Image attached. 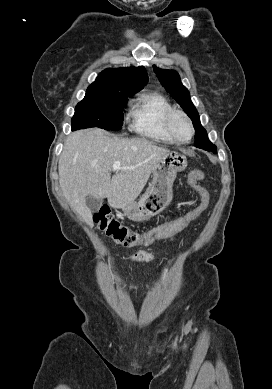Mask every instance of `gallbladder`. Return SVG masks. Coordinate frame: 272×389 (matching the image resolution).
Instances as JSON below:
<instances>
[{"label":"gallbladder","mask_w":272,"mask_h":389,"mask_svg":"<svg viewBox=\"0 0 272 389\" xmlns=\"http://www.w3.org/2000/svg\"><path fill=\"white\" fill-rule=\"evenodd\" d=\"M103 203L101 198H95L93 196L86 197V205L92 213H96L99 211Z\"/></svg>","instance_id":"obj_1"}]
</instances>
